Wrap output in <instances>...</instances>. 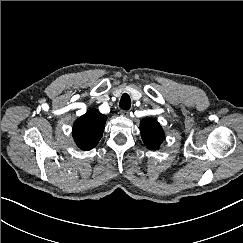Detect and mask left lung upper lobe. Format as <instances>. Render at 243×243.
Here are the masks:
<instances>
[{"mask_svg": "<svg viewBox=\"0 0 243 243\" xmlns=\"http://www.w3.org/2000/svg\"><path fill=\"white\" fill-rule=\"evenodd\" d=\"M140 131L144 144L149 149H158L164 139L161 125L154 119L146 118L140 123Z\"/></svg>", "mask_w": 243, "mask_h": 243, "instance_id": "left-lung-upper-lobe-1", "label": "left lung upper lobe"}]
</instances>
